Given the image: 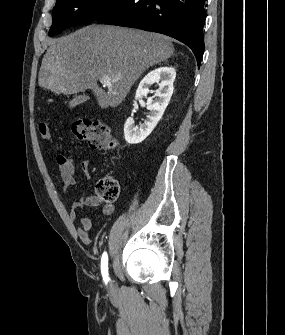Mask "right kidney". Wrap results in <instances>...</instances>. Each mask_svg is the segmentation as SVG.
I'll return each instance as SVG.
<instances>
[{
    "mask_svg": "<svg viewBox=\"0 0 285 335\" xmlns=\"http://www.w3.org/2000/svg\"><path fill=\"white\" fill-rule=\"evenodd\" d=\"M176 78V72L174 68H157L149 72L143 80H141L138 90L136 92L135 100L143 98L149 94V86L152 84H158L159 88L156 90V98H148L147 110H149L148 116L144 124L135 126L134 118H127L124 126V136L128 144H140L143 142L151 132H153L155 126H157L159 120H161L173 94V82ZM137 106V104H133Z\"/></svg>",
    "mask_w": 285,
    "mask_h": 335,
    "instance_id": "obj_1",
    "label": "right kidney"
}]
</instances>
